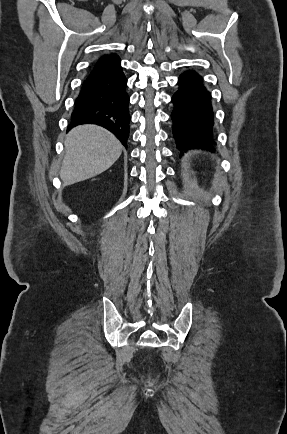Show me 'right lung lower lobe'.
<instances>
[{
    "instance_id": "right-lung-lower-lobe-1",
    "label": "right lung lower lobe",
    "mask_w": 287,
    "mask_h": 434,
    "mask_svg": "<svg viewBox=\"0 0 287 434\" xmlns=\"http://www.w3.org/2000/svg\"><path fill=\"white\" fill-rule=\"evenodd\" d=\"M126 87L120 58L116 54L99 58L82 84L68 129L88 123L100 125L126 147L130 122Z\"/></svg>"
}]
</instances>
